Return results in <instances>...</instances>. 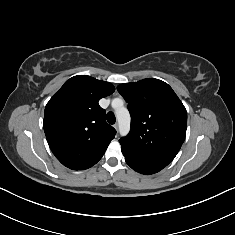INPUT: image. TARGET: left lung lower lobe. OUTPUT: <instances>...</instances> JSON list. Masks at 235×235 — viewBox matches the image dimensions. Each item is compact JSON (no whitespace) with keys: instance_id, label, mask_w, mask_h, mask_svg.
<instances>
[{"instance_id":"1","label":"left lung lower lobe","mask_w":235,"mask_h":235,"mask_svg":"<svg viewBox=\"0 0 235 235\" xmlns=\"http://www.w3.org/2000/svg\"><path fill=\"white\" fill-rule=\"evenodd\" d=\"M126 163L141 174H154L162 170L166 165L148 160L140 155L132 154L122 148Z\"/></svg>"}]
</instances>
